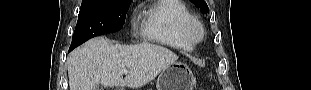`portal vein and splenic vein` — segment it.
I'll return each instance as SVG.
<instances>
[{
    "mask_svg": "<svg viewBox=\"0 0 311 90\" xmlns=\"http://www.w3.org/2000/svg\"><path fill=\"white\" fill-rule=\"evenodd\" d=\"M129 71L127 70V69H123L122 71H121V73L122 74H127Z\"/></svg>",
    "mask_w": 311,
    "mask_h": 90,
    "instance_id": "18ae733b",
    "label": "portal vein and splenic vein"
}]
</instances>
